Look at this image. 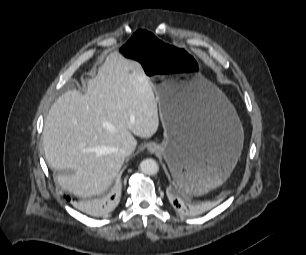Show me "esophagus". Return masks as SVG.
I'll use <instances>...</instances> for the list:
<instances>
[{"mask_svg":"<svg viewBox=\"0 0 306 255\" xmlns=\"http://www.w3.org/2000/svg\"><path fill=\"white\" fill-rule=\"evenodd\" d=\"M147 150L148 152L150 153H156L158 151V146L155 144V143H150L148 146H147Z\"/></svg>","mask_w":306,"mask_h":255,"instance_id":"esophagus-1","label":"esophagus"}]
</instances>
